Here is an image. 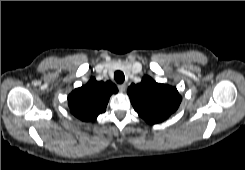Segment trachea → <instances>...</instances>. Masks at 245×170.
<instances>
[{
    "label": "trachea",
    "instance_id": "obj_1",
    "mask_svg": "<svg viewBox=\"0 0 245 170\" xmlns=\"http://www.w3.org/2000/svg\"><path fill=\"white\" fill-rule=\"evenodd\" d=\"M114 79L117 83L121 84L125 80L124 73L122 71H116L114 74Z\"/></svg>",
    "mask_w": 245,
    "mask_h": 170
}]
</instances>
